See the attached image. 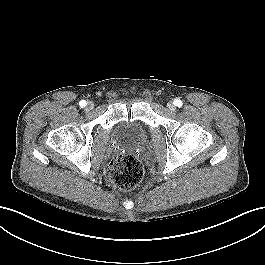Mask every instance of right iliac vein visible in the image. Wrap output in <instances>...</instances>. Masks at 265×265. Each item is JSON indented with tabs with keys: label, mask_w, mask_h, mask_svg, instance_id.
Segmentation results:
<instances>
[{
	"label": "right iliac vein",
	"mask_w": 265,
	"mask_h": 265,
	"mask_svg": "<svg viewBox=\"0 0 265 265\" xmlns=\"http://www.w3.org/2000/svg\"><path fill=\"white\" fill-rule=\"evenodd\" d=\"M87 108L90 109V110L93 109V108H94V104H93V102L90 101V102L88 103V105H87Z\"/></svg>",
	"instance_id": "1"
}]
</instances>
